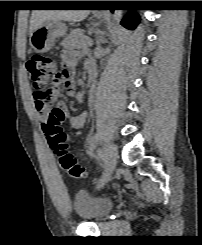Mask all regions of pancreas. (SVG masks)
<instances>
[{
    "label": "pancreas",
    "instance_id": "obj_1",
    "mask_svg": "<svg viewBox=\"0 0 202 245\" xmlns=\"http://www.w3.org/2000/svg\"><path fill=\"white\" fill-rule=\"evenodd\" d=\"M87 36L84 35L83 30H73L63 41L62 46L65 48H85L88 46Z\"/></svg>",
    "mask_w": 202,
    "mask_h": 245
}]
</instances>
